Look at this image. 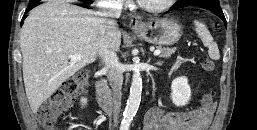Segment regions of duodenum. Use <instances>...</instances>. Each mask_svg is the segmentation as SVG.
Instances as JSON below:
<instances>
[{"label":"duodenum","instance_id":"duodenum-1","mask_svg":"<svg viewBox=\"0 0 257 130\" xmlns=\"http://www.w3.org/2000/svg\"><path fill=\"white\" fill-rule=\"evenodd\" d=\"M96 94L99 102L103 106V108L111 112L112 110V96L111 92L107 86V83L104 79H100L96 84Z\"/></svg>","mask_w":257,"mask_h":130}]
</instances>
